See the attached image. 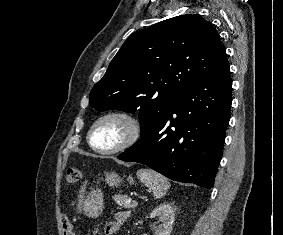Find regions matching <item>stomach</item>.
<instances>
[{
    "label": "stomach",
    "mask_w": 283,
    "mask_h": 235,
    "mask_svg": "<svg viewBox=\"0 0 283 235\" xmlns=\"http://www.w3.org/2000/svg\"><path fill=\"white\" fill-rule=\"evenodd\" d=\"M130 184H133L134 180L131 176L128 177ZM106 184L110 187H118L122 182V179L116 173H108L105 178ZM82 209L87 216L91 218L98 217L104 209L103 193L99 189H94L89 192L82 200Z\"/></svg>",
    "instance_id": "1"
}]
</instances>
